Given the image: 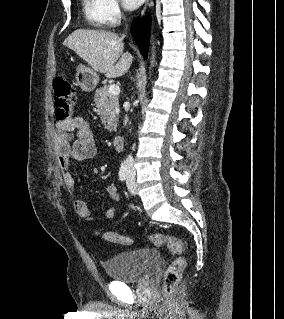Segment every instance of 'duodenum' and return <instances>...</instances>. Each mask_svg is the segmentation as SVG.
<instances>
[{"mask_svg": "<svg viewBox=\"0 0 284 319\" xmlns=\"http://www.w3.org/2000/svg\"><path fill=\"white\" fill-rule=\"evenodd\" d=\"M123 144H124V137L122 135H116L113 138V145L115 149L121 150L123 148Z\"/></svg>", "mask_w": 284, "mask_h": 319, "instance_id": "1", "label": "duodenum"}]
</instances>
